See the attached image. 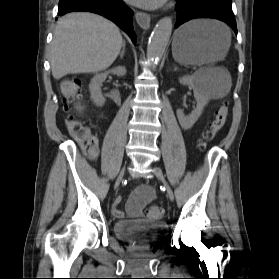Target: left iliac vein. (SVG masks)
Wrapping results in <instances>:
<instances>
[{
    "mask_svg": "<svg viewBox=\"0 0 279 279\" xmlns=\"http://www.w3.org/2000/svg\"><path fill=\"white\" fill-rule=\"evenodd\" d=\"M154 173H155L156 177H157V178L163 183V185L165 186L166 191H167V195H168L169 199H170L171 201H173V200H174V193H173V190H172L171 187L168 185V183H167V181H166V179H165V176H164L162 170H161L159 167L155 166V167H154Z\"/></svg>",
    "mask_w": 279,
    "mask_h": 279,
    "instance_id": "left-iliac-vein-1",
    "label": "left iliac vein"
}]
</instances>
